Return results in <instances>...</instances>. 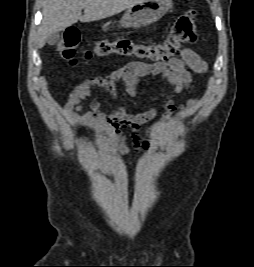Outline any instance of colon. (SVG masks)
Returning <instances> with one entry per match:
<instances>
[{
  "instance_id": "5ec220e1",
  "label": "colon",
  "mask_w": 254,
  "mask_h": 267,
  "mask_svg": "<svg viewBox=\"0 0 254 267\" xmlns=\"http://www.w3.org/2000/svg\"><path fill=\"white\" fill-rule=\"evenodd\" d=\"M80 39L78 29L68 28L57 45L59 54L70 66H75L78 63L76 51ZM196 39V12L191 9L173 23L167 37L160 43L140 44L128 38L100 39L95 43L93 49L86 53L85 58L90 59L93 56L105 57L115 54L148 59L156 63L165 62L179 56L185 45L194 43Z\"/></svg>"
}]
</instances>
